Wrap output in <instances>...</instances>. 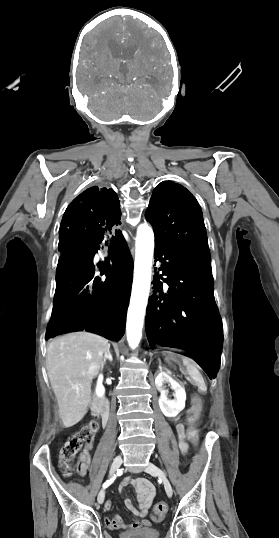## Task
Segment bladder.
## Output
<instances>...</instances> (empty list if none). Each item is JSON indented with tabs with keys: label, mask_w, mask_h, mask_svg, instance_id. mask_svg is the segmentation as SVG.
I'll return each instance as SVG.
<instances>
[{
	"label": "bladder",
	"mask_w": 279,
	"mask_h": 538,
	"mask_svg": "<svg viewBox=\"0 0 279 538\" xmlns=\"http://www.w3.org/2000/svg\"><path fill=\"white\" fill-rule=\"evenodd\" d=\"M120 538H158L157 532H121Z\"/></svg>",
	"instance_id": "bladder-1"
}]
</instances>
